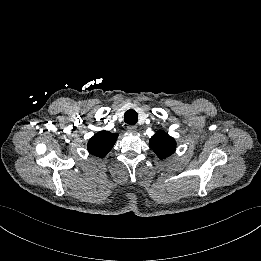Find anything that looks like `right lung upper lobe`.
<instances>
[{
  "label": "right lung upper lobe",
  "mask_w": 261,
  "mask_h": 261,
  "mask_svg": "<svg viewBox=\"0 0 261 261\" xmlns=\"http://www.w3.org/2000/svg\"><path fill=\"white\" fill-rule=\"evenodd\" d=\"M117 137V133L100 131L89 140L88 151L94 156L103 157L112 149Z\"/></svg>",
  "instance_id": "cb5924a9"
}]
</instances>
